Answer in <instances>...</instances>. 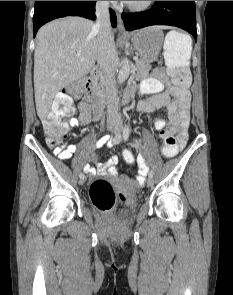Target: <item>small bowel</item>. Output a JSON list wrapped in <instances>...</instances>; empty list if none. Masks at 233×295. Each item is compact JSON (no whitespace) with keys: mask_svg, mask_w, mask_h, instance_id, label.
Instances as JSON below:
<instances>
[{"mask_svg":"<svg viewBox=\"0 0 233 295\" xmlns=\"http://www.w3.org/2000/svg\"><path fill=\"white\" fill-rule=\"evenodd\" d=\"M142 94L151 95L149 98L144 99L138 104V111L143 113H152L157 110H165L168 114V121L159 117L155 121V128L162 131L166 127H170L173 132L177 134V141L179 147H184L187 141V130L189 126V108H190V93L189 91L176 96L170 88V81L165 72L161 68H157L153 75L144 80L140 86ZM80 115L78 120H73L72 125H87L93 119V115L88 103L83 100L79 104ZM111 143L108 136L99 139L94 149L102 148ZM77 147L74 144L67 145L64 148L56 147L53 152L61 160L70 159L76 152ZM94 165L86 164L84 171L90 175L98 173L100 175L116 177L118 171L116 165L119 159L116 155H112L105 162H98L95 158L92 159ZM138 175L137 181L143 182L148 172V167L141 155L137 157Z\"/></svg>","mask_w":233,"mask_h":295,"instance_id":"obj_1","label":"small bowel"}]
</instances>
